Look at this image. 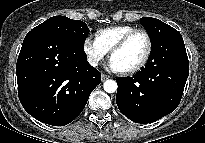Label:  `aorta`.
I'll return each mask as SVG.
<instances>
[{
	"mask_svg": "<svg viewBox=\"0 0 205 143\" xmlns=\"http://www.w3.org/2000/svg\"><path fill=\"white\" fill-rule=\"evenodd\" d=\"M117 87V83L114 80H106L103 84V88L107 93H114Z\"/></svg>",
	"mask_w": 205,
	"mask_h": 143,
	"instance_id": "1",
	"label": "aorta"
}]
</instances>
